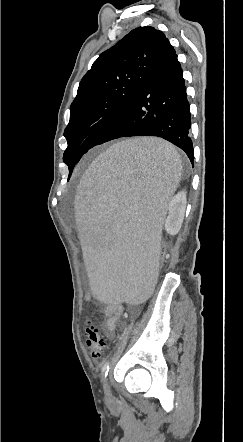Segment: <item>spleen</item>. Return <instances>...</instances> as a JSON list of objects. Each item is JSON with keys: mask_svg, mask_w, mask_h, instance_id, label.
Masks as SVG:
<instances>
[{"mask_svg": "<svg viewBox=\"0 0 243 442\" xmlns=\"http://www.w3.org/2000/svg\"><path fill=\"white\" fill-rule=\"evenodd\" d=\"M182 169L171 144L137 138L110 147L79 179L74 226H80V256L99 302L143 307L151 296L163 219Z\"/></svg>", "mask_w": 243, "mask_h": 442, "instance_id": "spleen-1", "label": "spleen"}]
</instances>
